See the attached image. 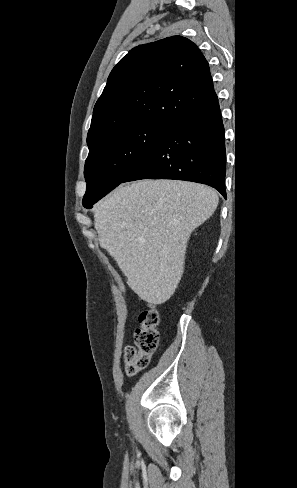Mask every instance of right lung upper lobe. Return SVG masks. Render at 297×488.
Listing matches in <instances>:
<instances>
[{
	"label": "right lung upper lobe",
	"mask_w": 297,
	"mask_h": 488,
	"mask_svg": "<svg viewBox=\"0 0 297 488\" xmlns=\"http://www.w3.org/2000/svg\"><path fill=\"white\" fill-rule=\"evenodd\" d=\"M215 99L208 62L192 41L172 36L137 46L108 77L93 110L88 147L132 125H172Z\"/></svg>",
	"instance_id": "1"
}]
</instances>
